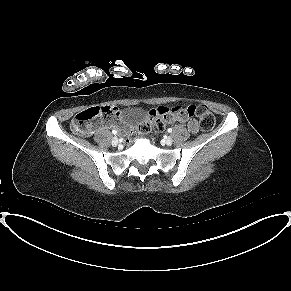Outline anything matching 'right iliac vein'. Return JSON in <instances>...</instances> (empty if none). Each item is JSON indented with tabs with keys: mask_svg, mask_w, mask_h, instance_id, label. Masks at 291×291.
<instances>
[{
	"mask_svg": "<svg viewBox=\"0 0 291 291\" xmlns=\"http://www.w3.org/2000/svg\"><path fill=\"white\" fill-rule=\"evenodd\" d=\"M112 145L113 146H117L118 145V138L117 137H113V139H112Z\"/></svg>",
	"mask_w": 291,
	"mask_h": 291,
	"instance_id": "right-iliac-vein-1",
	"label": "right iliac vein"
}]
</instances>
